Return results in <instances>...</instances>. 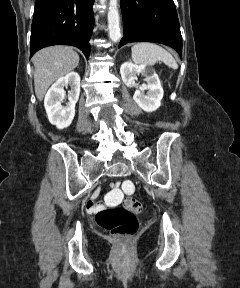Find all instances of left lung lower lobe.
Returning <instances> with one entry per match:
<instances>
[{
    "label": "left lung lower lobe",
    "instance_id": "obj_1",
    "mask_svg": "<svg viewBox=\"0 0 240 288\" xmlns=\"http://www.w3.org/2000/svg\"><path fill=\"white\" fill-rule=\"evenodd\" d=\"M124 36L119 47L131 42H157L182 56V37L173 0H120Z\"/></svg>",
    "mask_w": 240,
    "mask_h": 288
}]
</instances>
